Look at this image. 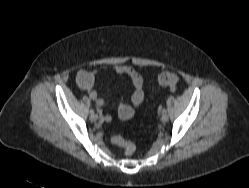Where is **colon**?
Masks as SVG:
<instances>
[{"mask_svg": "<svg viewBox=\"0 0 249 188\" xmlns=\"http://www.w3.org/2000/svg\"><path fill=\"white\" fill-rule=\"evenodd\" d=\"M159 82L164 86L175 88L179 82V79L175 73L165 71L159 75ZM110 142L114 145L122 146L126 155H131L135 150L133 143L120 136H112L110 138Z\"/></svg>", "mask_w": 249, "mask_h": 188, "instance_id": "obj_1", "label": "colon"}]
</instances>
